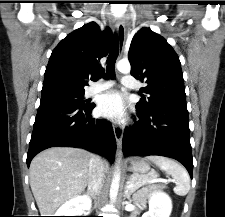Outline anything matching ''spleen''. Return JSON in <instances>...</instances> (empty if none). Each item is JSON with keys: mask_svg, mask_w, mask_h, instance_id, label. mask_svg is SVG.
Masks as SVG:
<instances>
[{"mask_svg": "<svg viewBox=\"0 0 225 217\" xmlns=\"http://www.w3.org/2000/svg\"><path fill=\"white\" fill-rule=\"evenodd\" d=\"M146 159L174 178L176 181L174 192L177 195L185 196L189 192L190 178L188 172L181 164L164 156H148Z\"/></svg>", "mask_w": 225, "mask_h": 217, "instance_id": "3e777b00", "label": "spleen"}]
</instances>
